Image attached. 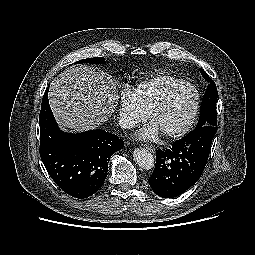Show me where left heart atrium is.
Returning a JSON list of instances; mask_svg holds the SVG:
<instances>
[{
  "label": "left heart atrium",
  "instance_id": "left-heart-atrium-1",
  "mask_svg": "<svg viewBox=\"0 0 255 255\" xmlns=\"http://www.w3.org/2000/svg\"><path fill=\"white\" fill-rule=\"evenodd\" d=\"M159 134H160L159 128L152 121L146 127L141 129L138 132L137 136H138V138H140L142 140H154V139H156L159 136Z\"/></svg>",
  "mask_w": 255,
  "mask_h": 255
}]
</instances>
